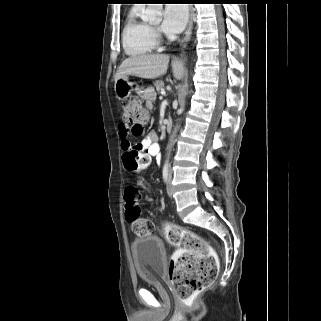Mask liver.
I'll use <instances>...</instances> for the list:
<instances>
[{"label": "liver", "mask_w": 321, "mask_h": 321, "mask_svg": "<svg viewBox=\"0 0 321 321\" xmlns=\"http://www.w3.org/2000/svg\"><path fill=\"white\" fill-rule=\"evenodd\" d=\"M169 64V56L165 54H144L125 59L117 70L115 81L134 75L144 79H156L164 75ZM175 78L180 79L184 74L183 63L177 59L172 62Z\"/></svg>", "instance_id": "6515ba94"}]
</instances>
